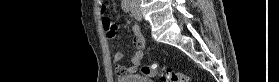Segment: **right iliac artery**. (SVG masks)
<instances>
[{
	"instance_id": "right-iliac-artery-1",
	"label": "right iliac artery",
	"mask_w": 279,
	"mask_h": 82,
	"mask_svg": "<svg viewBox=\"0 0 279 82\" xmlns=\"http://www.w3.org/2000/svg\"><path fill=\"white\" fill-rule=\"evenodd\" d=\"M131 6L130 0H123L121 3V7L125 12H129L131 10Z\"/></svg>"
}]
</instances>
